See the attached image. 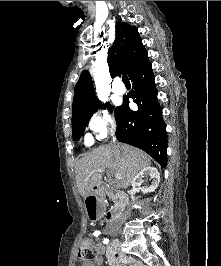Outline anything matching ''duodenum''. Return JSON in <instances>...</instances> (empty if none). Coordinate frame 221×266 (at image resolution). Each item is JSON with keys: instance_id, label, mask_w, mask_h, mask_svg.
Returning <instances> with one entry per match:
<instances>
[{"instance_id": "1", "label": "duodenum", "mask_w": 221, "mask_h": 266, "mask_svg": "<svg viewBox=\"0 0 221 266\" xmlns=\"http://www.w3.org/2000/svg\"><path fill=\"white\" fill-rule=\"evenodd\" d=\"M107 194L112 196H119L115 191H106L102 185H98L96 190L88 191L89 198H85V206L87 211V219L90 223H97V219H102L104 201L103 197ZM118 210L110 209L106 212V220L108 223H114L117 218Z\"/></svg>"}]
</instances>
